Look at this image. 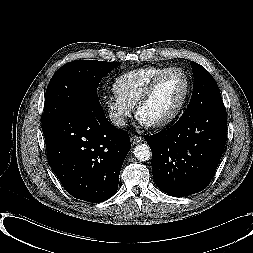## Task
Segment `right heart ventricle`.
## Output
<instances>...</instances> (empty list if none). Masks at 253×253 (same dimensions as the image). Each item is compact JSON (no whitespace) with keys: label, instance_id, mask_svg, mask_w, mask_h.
Returning <instances> with one entry per match:
<instances>
[{"label":"right heart ventricle","instance_id":"right-heart-ventricle-1","mask_svg":"<svg viewBox=\"0 0 253 253\" xmlns=\"http://www.w3.org/2000/svg\"><path fill=\"white\" fill-rule=\"evenodd\" d=\"M168 68L149 66L130 70L116 79L113 90L118 97L134 107L149 83Z\"/></svg>","mask_w":253,"mask_h":253}]
</instances>
